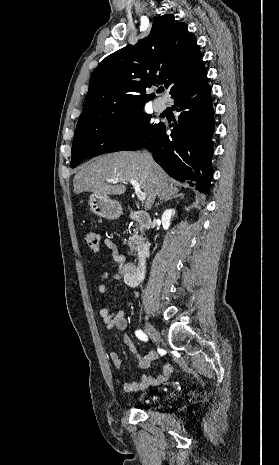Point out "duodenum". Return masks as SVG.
<instances>
[{"label": "duodenum", "mask_w": 279, "mask_h": 465, "mask_svg": "<svg viewBox=\"0 0 279 465\" xmlns=\"http://www.w3.org/2000/svg\"><path fill=\"white\" fill-rule=\"evenodd\" d=\"M130 219L138 222L142 227L148 228L151 225V219L146 212L133 211L130 213ZM150 254V243L144 242L137 251L138 263L126 276V282L130 286H138L143 280L146 269V258Z\"/></svg>", "instance_id": "410a0bca"}]
</instances>
